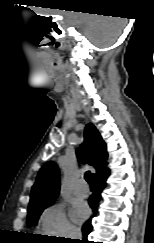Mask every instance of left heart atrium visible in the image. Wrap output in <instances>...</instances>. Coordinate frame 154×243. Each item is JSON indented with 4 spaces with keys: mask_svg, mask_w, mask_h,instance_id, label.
I'll list each match as a JSON object with an SVG mask.
<instances>
[{
    "mask_svg": "<svg viewBox=\"0 0 154 243\" xmlns=\"http://www.w3.org/2000/svg\"><path fill=\"white\" fill-rule=\"evenodd\" d=\"M88 212V207L85 204L81 203L73 207L71 211V216L74 221L79 222L87 217Z\"/></svg>",
    "mask_w": 154,
    "mask_h": 243,
    "instance_id": "39dd6f15",
    "label": "left heart atrium"
}]
</instances>
